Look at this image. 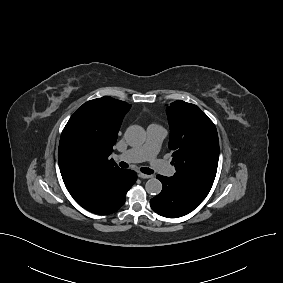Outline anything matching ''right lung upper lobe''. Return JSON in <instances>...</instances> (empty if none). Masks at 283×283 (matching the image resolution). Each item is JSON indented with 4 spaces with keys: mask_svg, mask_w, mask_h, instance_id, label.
Masks as SVG:
<instances>
[{
    "mask_svg": "<svg viewBox=\"0 0 283 283\" xmlns=\"http://www.w3.org/2000/svg\"><path fill=\"white\" fill-rule=\"evenodd\" d=\"M130 107L104 96L84 103L69 119L61 134L58 161L73 198L106 174L120 170L109 155Z\"/></svg>",
    "mask_w": 283,
    "mask_h": 283,
    "instance_id": "cb5924a9",
    "label": "right lung upper lobe"
}]
</instances>
